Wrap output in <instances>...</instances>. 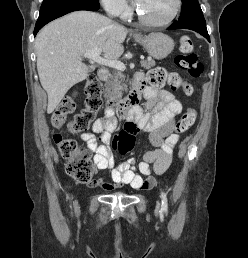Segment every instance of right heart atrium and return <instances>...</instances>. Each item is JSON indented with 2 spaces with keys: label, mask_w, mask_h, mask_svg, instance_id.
Returning <instances> with one entry per match:
<instances>
[{
  "label": "right heart atrium",
  "mask_w": 248,
  "mask_h": 258,
  "mask_svg": "<svg viewBox=\"0 0 248 258\" xmlns=\"http://www.w3.org/2000/svg\"><path fill=\"white\" fill-rule=\"evenodd\" d=\"M107 13L117 16L126 17L129 14V7L125 0H100Z\"/></svg>",
  "instance_id": "d8ad5b80"
}]
</instances>
